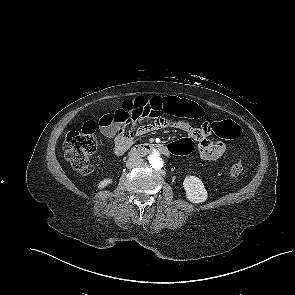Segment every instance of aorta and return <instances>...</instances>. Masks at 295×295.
Returning <instances> with one entry per match:
<instances>
[{
	"instance_id": "obj_1",
	"label": "aorta",
	"mask_w": 295,
	"mask_h": 295,
	"mask_svg": "<svg viewBox=\"0 0 295 295\" xmlns=\"http://www.w3.org/2000/svg\"><path fill=\"white\" fill-rule=\"evenodd\" d=\"M148 161L154 169H161L164 165L162 158L158 152H153L148 156Z\"/></svg>"
}]
</instances>
